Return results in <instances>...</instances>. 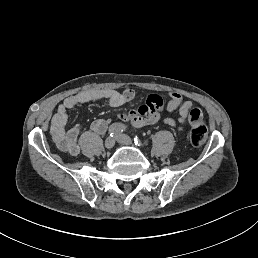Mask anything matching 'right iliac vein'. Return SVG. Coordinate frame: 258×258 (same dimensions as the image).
<instances>
[{
  "label": "right iliac vein",
  "mask_w": 258,
  "mask_h": 258,
  "mask_svg": "<svg viewBox=\"0 0 258 258\" xmlns=\"http://www.w3.org/2000/svg\"><path fill=\"white\" fill-rule=\"evenodd\" d=\"M115 145V139L113 137H108L105 142H104V146L107 149H111L113 148Z\"/></svg>",
  "instance_id": "obj_1"
}]
</instances>
